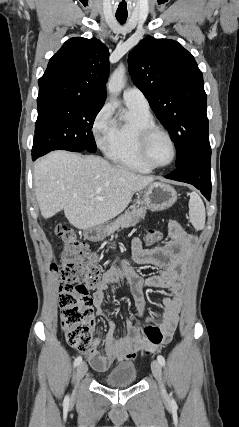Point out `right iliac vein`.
I'll return each instance as SVG.
<instances>
[{
	"label": "right iliac vein",
	"mask_w": 239,
	"mask_h": 427,
	"mask_svg": "<svg viewBox=\"0 0 239 427\" xmlns=\"http://www.w3.org/2000/svg\"><path fill=\"white\" fill-rule=\"evenodd\" d=\"M87 364L85 362H81L78 367H77V371H76V383L78 384L79 381L84 377V375L87 372ZM76 390H74L73 395H75Z\"/></svg>",
	"instance_id": "1"
}]
</instances>
